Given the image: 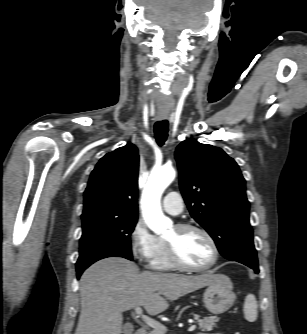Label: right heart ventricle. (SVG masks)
I'll use <instances>...</instances> for the list:
<instances>
[{
  "instance_id": "e07e8e85",
  "label": "right heart ventricle",
  "mask_w": 307,
  "mask_h": 334,
  "mask_svg": "<svg viewBox=\"0 0 307 334\" xmlns=\"http://www.w3.org/2000/svg\"><path fill=\"white\" fill-rule=\"evenodd\" d=\"M150 267L156 270H172L175 267L169 259L165 242L161 239H158V248L150 261Z\"/></svg>"
}]
</instances>
